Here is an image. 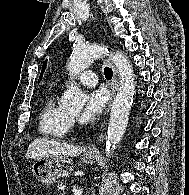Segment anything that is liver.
Returning <instances> with one entry per match:
<instances>
[{
	"label": "liver",
	"instance_id": "1",
	"mask_svg": "<svg viewBox=\"0 0 189 195\" xmlns=\"http://www.w3.org/2000/svg\"><path fill=\"white\" fill-rule=\"evenodd\" d=\"M84 148L67 142L48 138H37L29 144L26 157L28 159H39L49 156L75 157L83 153Z\"/></svg>",
	"mask_w": 189,
	"mask_h": 195
}]
</instances>
